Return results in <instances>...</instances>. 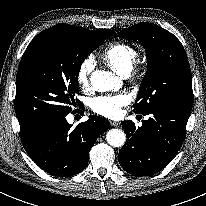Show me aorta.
Returning <instances> with one entry per match:
<instances>
[{
  "mask_svg": "<svg viewBox=\"0 0 206 206\" xmlns=\"http://www.w3.org/2000/svg\"><path fill=\"white\" fill-rule=\"evenodd\" d=\"M90 81L94 90L105 92L113 89L119 79L112 72L96 70L91 74ZM106 140L113 147H122L126 136L120 129H111L107 132Z\"/></svg>",
  "mask_w": 206,
  "mask_h": 206,
  "instance_id": "1",
  "label": "aorta"
}]
</instances>
